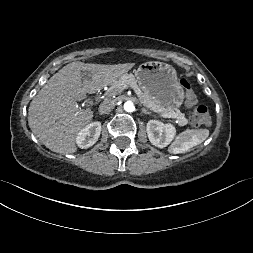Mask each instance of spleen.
Segmentation results:
<instances>
[{"instance_id": "3e777b00", "label": "spleen", "mask_w": 253, "mask_h": 253, "mask_svg": "<svg viewBox=\"0 0 253 253\" xmlns=\"http://www.w3.org/2000/svg\"><path fill=\"white\" fill-rule=\"evenodd\" d=\"M208 136V129H187L175 138L169 147V152L172 154L186 152L204 142Z\"/></svg>"}]
</instances>
